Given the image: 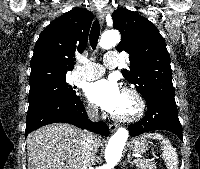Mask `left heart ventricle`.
<instances>
[{"instance_id": "b2bd125f", "label": "left heart ventricle", "mask_w": 200, "mask_h": 169, "mask_svg": "<svg viewBox=\"0 0 200 169\" xmlns=\"http://www.w3.org/2000/svg\"><path fill=\"white\" fill-rule=\"evenodd\" d=\"M135 110V102L133 98L125 93H122L121 102L117 110V115L125 116L133 113Z\"/></svg>"}]
</instances>
